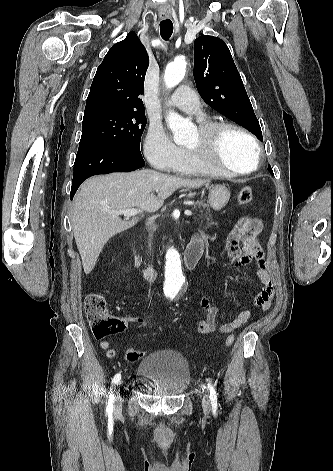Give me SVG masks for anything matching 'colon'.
Listing matches in <instances>:
<instances>
[{
	"label": "colon",
	"instance_id": "1",
	"mask_svg": "<svg viewBox=\"0 0 333 471\" xmlns=\"http://www.w3.org/2000/svg\"><path fill=\"white\" fill-rule=\"evenodd\" d=\"M253 198L252 189L248 186L242 188L238 194V203L247 205ZM84 310L89 327L96 339H103L107 336L121 333L125 327L124 319L113 316L109 313L104 297L97 293L87 295L84 301ZM234 335L226 338L225 345L230 347L234 343ZM125 358L129 362H136L144 356L140 350L130 347L125 349Z\"/></svg>",
	"mask_w": 333,
	"mask_h": 471
}]
</instances>
